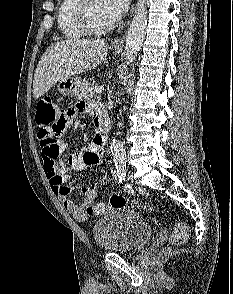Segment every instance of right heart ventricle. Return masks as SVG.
Masks as SVG:
<instances>
[{"mask_svg": "<svg viewBox=\"0 0 233 294\" xmlns=\"http://www.w3.org/2000/svg\"><path fill=\"white\" fill-rule=\"evenodd\" d=\"M79 0H60L57 10V24L61 33L69 39H81L88 34L78 23L76 12Z\"/></svg>", "mask_w": 233, "mask_h": 294, "instance_id": "obj_1", "label": "right heart ventricle"}]
</instances>
